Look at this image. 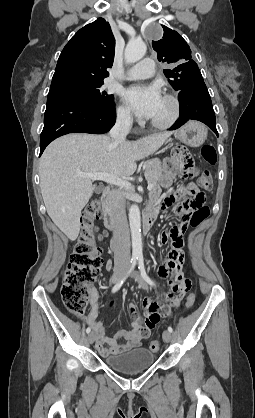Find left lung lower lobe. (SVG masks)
<instances>
[{
    "mask_svg": "<svg viewBox=\"0 0 255 418\" xmlns=\"http://www.w3.org/2000/svg\"><path fill=\"white\" fill-rule=\"evenodd\" d=\"M180 117L169 130H175L188 120L205 123L217 136L215 113L204 81L179 92Z\"/></svg>",
    "mask_w": 255,
    "mask_h": 418,
    "instance_id": "obj_1",
    "label": "left lung lower lobe"
}]
</instances>
